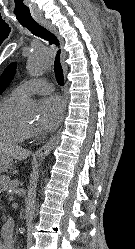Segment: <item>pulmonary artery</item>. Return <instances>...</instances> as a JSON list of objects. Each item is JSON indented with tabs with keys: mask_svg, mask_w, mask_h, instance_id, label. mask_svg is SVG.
Listing matches in <instances>:
<instances>
[{
	"mask_svg": "<svg viewBox=\"0 0 135 249\" xmlns=\"http://www.w3.org/2000/svg\"><path fill=\"white\" fill-rule=\"evenodd\" d=\"M53 90V84L41 79H35L18 85L13 90V93L20 98H25L35 94H48Z\"/></svg>",
	"mask_w": 135,
	"mask_h": 249,
	"instance_id": "e3ab8cb5",
	"label": "pulmonary artery"
}]
</instances>
